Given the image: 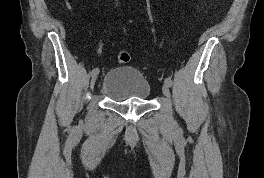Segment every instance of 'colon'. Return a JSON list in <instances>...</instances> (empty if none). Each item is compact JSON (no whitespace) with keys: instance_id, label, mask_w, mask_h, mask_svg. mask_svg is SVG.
Masks as SVG:
<instances>
[{"instance_id":"1","label":"colon","mask_w":264,"mask_h":178,"mask_svg":"<svg viewBox=\"0 0 264 178\" xmlns=\"http://www.w3.org/2000/svg\"><path fill=\"white\" fill-rule=\"evenodd\" d=\"M117 60L119 63H128L131 60V55L126 51H122L117 55Z\"/></svg>"}]
</instances>
